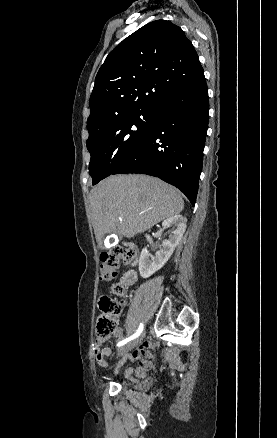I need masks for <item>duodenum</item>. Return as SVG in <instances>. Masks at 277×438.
Listing matches in <instances>:
<instances>
[{
	"label": "duodenum",
	"instance_id": "duodenum-1",
	"mask_svg": "<svg viewBox=\"0 0 277 438\" xmlns=\"http://www.w3.org/2000/svg\"><path fill=\"white\" fill-rule=\"evenodd\" d=\"M131 247V245H129ZM136 280V273L133 270L128 271L123 277V284L125 286L132 285Z\"/></svg>",
	"mask_w": 277,
	"mask_h": 438
}]
</instances>
